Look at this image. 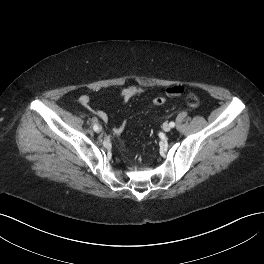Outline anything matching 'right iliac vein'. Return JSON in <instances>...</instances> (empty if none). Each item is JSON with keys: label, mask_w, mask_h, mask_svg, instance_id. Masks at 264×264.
Here are the masks:
<instances>
[{"label": "right iliac vein", "mask_w": 264, "mask_h": 264, "mask_svg": "<svg viewBox=\"0 0 264 264\" xmlns=\"http://www.w3.org/2000/svg\"><path fill=\"white\" fill-rule=\"evenodd\" d=\"M99 132H103V128L100 126L98 129Z\"/></svg>", "instance_id": "right-iliac-vein-1"}]
</instances>
